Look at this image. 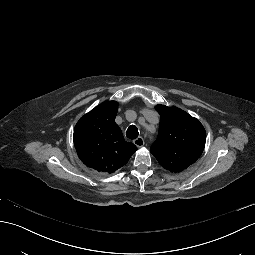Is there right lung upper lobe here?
<instances>
[{
	"label": "right lung upper lobe",
	"mask_w": 255,
	"mask_h": 255,
	"mask_svg": "<svg viewBox=\"0 0 255 255\" xmlns=\"http://www.w3.org/2000/svg\"><path fill=\"white\" fill-rule=\"evenodd\" d=\"M116 101H108L84 115L76 124L73 140L81 161L98 172L113 173L124 166L137 147L124 140L115 123Z\"/></svg>",
	"instance_id": "right-lung-upper-lobe-1"
}]
</instances>
